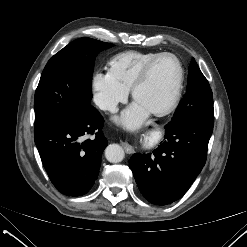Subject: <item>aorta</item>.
<instances>
[{
    "label": "aorta",
    "mask_w": 247,
    "mask_h": 247,
    "mask_svg": "<svg viewBox=\"0 0 247 247\" xmlns=\"http://www.w3.org/2000/svg\"><path fill=\"white\" fill-rule=\"evenodd\" d=\"M123 148L118 144H110L105 149V157L111 163H119L124 159Z\"/></svg>",
    "instance_id": "aorta-1"
}]
</instances>
